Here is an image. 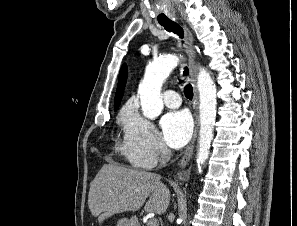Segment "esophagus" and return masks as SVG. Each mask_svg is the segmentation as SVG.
<instances>
[{
  "label": "esophagus",
  "instance_id": "esophagus-1",
  "mask_svg": "<svg viewBox=\"0 0 297 226\" xmlns=\"http://www.w3.org/2000/svg\"><path fill=\"white\" fill-rule=\"evenodd\" d=\"M183 28H184V32H185L186 50H187V54L189 57L191 81H192L193 91H194L193 107L195 109V129H194L193 138H192L191 142L189 143V145L187 146V148L179 162V167L181 169L186 167V165L189 163V161L192 157L193 149H194V145H195V141H196L197 133H198V89H197V83H196L197 67H196V63H195L196 54H195V50L193 47V35L186 25H183Z\"/></svg>",
  "mask_w": 297,
  "mask_h": 226
}]
</instances>
